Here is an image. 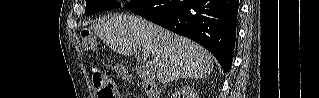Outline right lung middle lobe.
<instances>
[{"label":"right lung middle lobe","instance_id":"right-lung-middle-lobe-1","mask_svg":"<svg viewBox=\"0 0 319 98\" xmlns=\"http://www.w3.org/2000/svg\"><path fill=\"white\" fill-rule=\"evenodd\" d=\"M151 0H131L130 3L125 4L124 8L130 10L147 5ZM121 4L116 0H87L85 14L92 15L97 12H101L109 9H118Z\"/></svg>","mask_w":319,"mask_h":98}]
</instances>
